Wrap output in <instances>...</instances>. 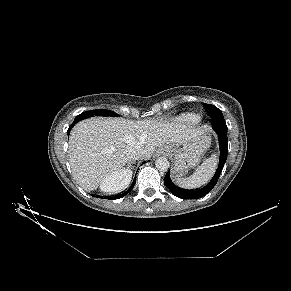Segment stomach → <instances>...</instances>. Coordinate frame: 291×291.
I'll list each match as a JSON object with an SVG mask.
<instances>
[{
  "label": "stomach",
  "mask_w": 291,
  "mask_h": 291,
  "mask_svg": "<svg viewBox=\"0 0 291 291\" xmlns=\"http://www.w3.org/2000/svg\"><path fill=\"white\" fill-rule=\"evenodd\" d=\"M210 146V137L207 134L200 135L197 140L190 141L179 146L165 147L167 154L173 159V172L181 176L189 168L194 167L200 160L202 153Z\"/></svg>",
  "instance_id": "0dacf381"
}]
</instances>
